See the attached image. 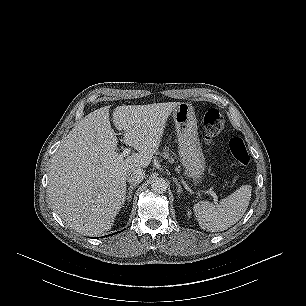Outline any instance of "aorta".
<instances>
[{
	"mask_svg": "<svg viewBox=\"0 0 306 306\" xmlns=\"http://www.w3.org/2000/svg\"><path fill=\"white\" fill-rule=\"evenodd\" d=\"M168 184L164 178H155L152 180L151 188L156 193H165L167 190Z\"/></svg>",
	"mask_w": 306,
	"mask_h": 306,
	"instance_id": "aorta-1",
	"label": "aorta"
}]
</instances>
